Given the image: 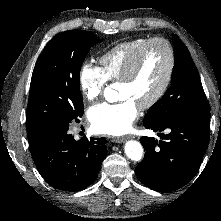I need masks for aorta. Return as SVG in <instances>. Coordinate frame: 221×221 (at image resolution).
Wrapping results in <instances>:
<instances>
[{"label": "aorta", "mask_w": 221, "mask_h": 221, "mask_svg": "<svg viewBox=\"0 0 221 221\" xmlns=\"http://www.w3.org/2000/svg\"><path fill=\"white\" fill-rule=\"evenodd\" d=\"M105 96H106V93H105ZM124 150H125L127 157L133 161L141 160L143 156V152H144L142 145L135 140L127 141L124 146Z\"/></svg>", "instance_id": "aorta-1"}]
</instances>
